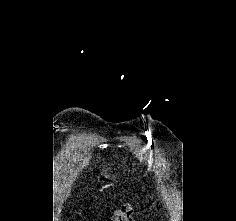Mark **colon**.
Instances as JSON below:
<instances>
[{
    "instance_id": "colon-1",
    "label": "colon",
    "mask_w": 236,
    "mask_h": 221,
    "mask_svg": "<svg viewBox=\"0 0 236 221\" xmlns=\"http://www.w3.org/2000/svg\"><path fill=\"white\" fill-rule=\"evenodd\" d=\"M134 214V206L131 204H124L116 209L106 221H133Z\"/></svg>"
}]
</instances>
